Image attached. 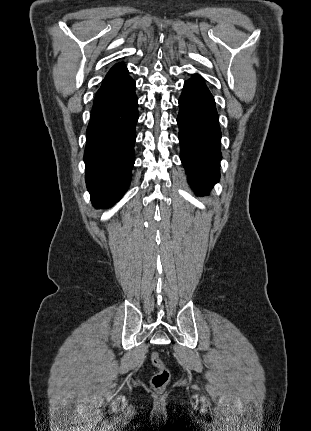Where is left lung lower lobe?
I'll return each mask as SVG.
<instances>
[{"label": "left lung lower lobe", "instance_id": "left-lung-lower-lobe-1", "mask_svg": "<svg viewBox=\"0 0 311 431\" xmlns=\"http://www.w3.org/2000/svg\"><path fill=\"white\" fill-rule=\"evenodd\" d=\"M179 107L181 161L194 190L205 194L219 180L221 131L213 96L202 77L185 82Z\"/></svg>", "mask_w": 311, "mask_h": 431}]
</instances>
